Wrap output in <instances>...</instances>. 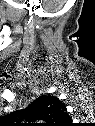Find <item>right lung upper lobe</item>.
Instances as JSON below:
<instances>
[{
	"label": "right lung upper lobe",
	"mask_w": 95,
	"mask_h": 126,
	"mask_svg": "<svg viewBox=\"0 0 95 126\" xmlns=\"http://www.w3.org/2000/svg\"><path fill=\"white\" fill-rule=\"evenodd\" d=\"M8 119L11 122L43 120L46 126H68L71 121L64 103L51 95L40 96L27 108L10 113Z\"/></svg>",
	"instance_id": "cb5924a9"
}]
</instances>
